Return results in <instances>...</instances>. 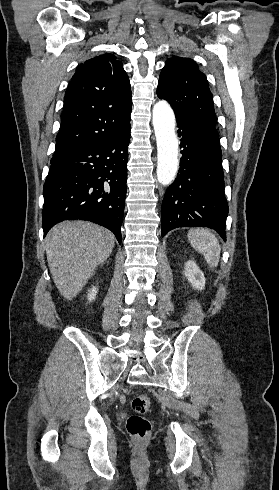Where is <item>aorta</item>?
<instances>
[{
	"label": "aorta",
	"instance_id": "1",
	"mask_svg": "<svg viewBox=\"0 0 279 490\" xmlns=\"http://www.w3.org/2000/svg\"><path fill=\"white\" fill-rule=\"evenodd\" d=\"M153 126L157 143V179L169 185L178 170V139L175 133V115L164 100L153 107Z\"/></svg>",
	"mask_w": 279,
	"mask_h": 490
}]
</instances>
